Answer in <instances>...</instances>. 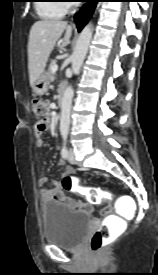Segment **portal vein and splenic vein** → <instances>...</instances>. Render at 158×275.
<instances>
[{"instance_id":"18ae733b","label":"portal vein and splenic vein","mask_w":158,"mask_h":275,"mask_svg":"<svg viewBox=\"0 0 158 275\" xmlns=\"http://www.w3.org/2000/svg\"><path fill=\"white\" fill-rule=\"evenodd\" d=\"M57 69H58V66H57V65H54V66L52 67V73H55V72L57 71Z\"/></svg>"}]
</instances>
